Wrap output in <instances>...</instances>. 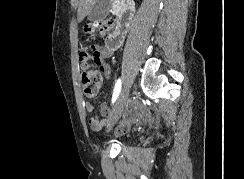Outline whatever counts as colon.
Listing matches in <instances>:
<instances>
[{
    "instance_id": "obj_1",
    "label": "colon",
    "mask_w": 244,
    "mask_h": 179,
    "mask_svg": "<svg viewBox=\"0 0 244 179\" xmlns=\"http://www.w3.org/2000/svg\"><path fill=\"white\" fill-rule=\"evenodd\" d=\"M112 27V22L110 21H100L95 24H88L84 27L85 33L89 35L95 34H105ZM81 60V85L82 92L88 98H95L101 88L103 72L99 67L97 57L87 50H82L80 52ZM95 121L92 122L94 124Z\"/></svg>"
}]
</instances>
